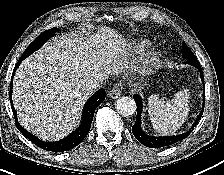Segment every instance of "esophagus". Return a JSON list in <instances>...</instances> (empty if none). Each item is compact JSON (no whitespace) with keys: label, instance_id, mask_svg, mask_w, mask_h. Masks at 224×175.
Wrapping results in <instances>:
<instances>
[{"label":"esophagus","instance_id":"1","mask_svg":"<svg viewBox=\"0 0 224 175\" xmlns=\"http://www.w3.org/2000/svg\"><path fill=\"white\" fill-rule=\"evenodd\" d=\"M122 87L120 85H115L108 93L109 97L116 99L121 95Z\"/></svg>","mask_w":224,"mask_h":175}]
</instances>
